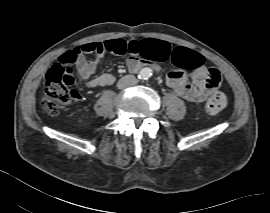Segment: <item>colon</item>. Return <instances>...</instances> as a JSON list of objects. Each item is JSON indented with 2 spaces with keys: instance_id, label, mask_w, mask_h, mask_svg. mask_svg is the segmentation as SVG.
Masks as SVG:
<instances>
[{
  "instance_id": "1",
  "label": "colon",
  "mask_w": 270,
  "mask_h": 213,
  "mask_svg": "<svg viewBox=\"0 0 270 213\" xmlns=\"http://www.w3.org/2000/svg\"><path fill=\"white\" fill-rule=\"evenodd\" d=\"M156 47L149 43L141 46L138 41H125L113 39L106 42V52L111 54H141L147 57L149 52ZM79 50L76 48L64 52L53 63L45 74V89L41 101L43 110L50 116H57L61 110L78 98V93L72 88L73 84V61L78 57ZM193 66L202 64V57L194 55L191 58ZM212 73L217 75L216 69H211ZM227 106V98L222 92H215L206 103V111L209 114H218Z\"/></svg>"
}]
</instances>
